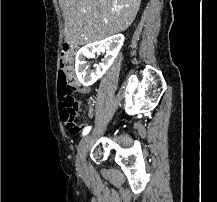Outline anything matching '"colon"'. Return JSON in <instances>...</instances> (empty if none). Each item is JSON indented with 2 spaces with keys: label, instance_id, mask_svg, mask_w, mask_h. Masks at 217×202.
I'll use <instances>...</instances> for the list:
<instances>
[{
  "label": "colon",
  "instance_id": "1",
  "mask_svg": "<svg viewBox=\"0 0 217 202\" xmlns=\"http://www.w3.org/2000/svg\"><path fill=\"white\" fill-rule=\"evenodd\" d=\"M75 55L74 47H62V55H60V67L57 71L58 91L56 102H62L63 106H60L59 117H65L63 125H66L67 130L72 134H78L81 132L82 124L77 122L76 114L79 112L78 104L75 102L73 95V74L75 72Z\"/></svg>",
  "mask_w": 217,
  "mask_h": 202
}]
</instances>
